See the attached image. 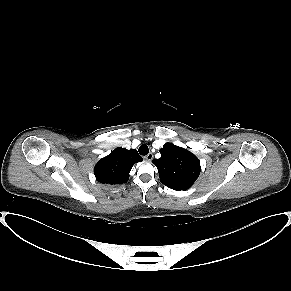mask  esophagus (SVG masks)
Here are the masks:
<instances>
[{
    "label": "esophagus",
    "mask_w": 291,
    "mask_h": 291,
    "mask_svg": "<svg viewBox=\"0 0 291 291\" xmlns=\"http://www.w3.org/2000/svg\"><path fill=\"white\" fill-rule=\"evenodd\" d=\"M145 160L147 161H151L153 159V154L152 153H149L147 154L145 157H144Z\"/></svg>",
    "instance_id": "1"
}]
</instances>
